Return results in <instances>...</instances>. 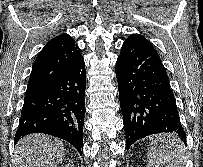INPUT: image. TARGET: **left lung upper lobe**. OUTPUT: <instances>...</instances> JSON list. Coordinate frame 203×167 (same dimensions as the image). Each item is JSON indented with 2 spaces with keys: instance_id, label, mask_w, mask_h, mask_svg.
<instances>
[{
  "instance_id": "obj_1",
  "label": "left lung upper lobe",
  "mask_w": 203,
  "mask_h": 167,
  "mask_svg": "<svg viewBox=\"0 0 203 167\" xmlns=\"http://www.w3.org/2000/svg\"><path fill=\"white\" fill-rule=\"evenodd\" d=\"M128 39L134 40L150 49L155 50L154 47L145 38H143L140 35H130Z\"/></svg>"
}]
</instances>
